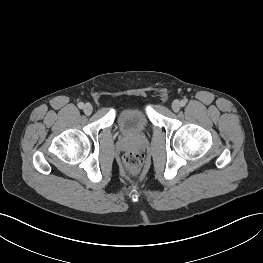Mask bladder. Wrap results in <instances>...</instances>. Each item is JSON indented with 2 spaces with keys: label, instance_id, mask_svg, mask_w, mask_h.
Wrapping results in <instances>:
<instances>
[{
  "label": "bladder",
  "instance_id": "31cf9c89",
  "mask_svg": "<svg viewBox=\"0 0 263 263\" xmlns=\"http://www.w3.org/2000/svg\"><path fill=\"white\" fill-rule=\"evenodd\" d=\"M118 130L125 136L139 137L146 135L151 128L149 117L139 107L120 110L116 115Z\"/></svg>",
  "mask_w": 263,
  "mask_h": 263
}]
</instances>
